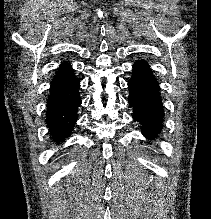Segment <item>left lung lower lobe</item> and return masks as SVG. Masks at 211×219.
<instances>
[{
	"instance_id": "obj_1",
	"label": "left lung lower lobe",
	"mask_w": 211,
	"mask_h": 219,
	"mask_svg": "<svg viewBox=\"0 0 211 219\" xmlns=\"http://www.w3.org/2000/svg\"><path fill=\"white\" fill-rule=\"evenodd\" d=\"M133 72L128 81L130 90L128 101L134 108L133 118L142 125L143 135L148 139H154L163 126L164 111L160 88L145 61L136 62Z\"/></svg>"
}]
</instances>
